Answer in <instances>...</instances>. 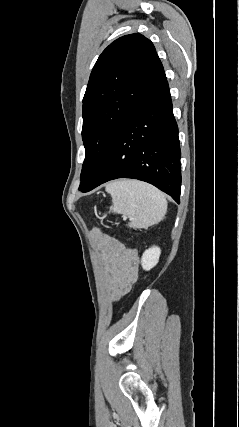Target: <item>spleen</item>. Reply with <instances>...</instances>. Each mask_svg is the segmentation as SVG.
Here are the masks:
<instances>
[{"label":"spleen","instance_id":"1","mask_svg":"<svg viewBox=\"0 0 239 427\" xmlns=\"http://www.w3.org/2000/svg\"><path fill=\"white\" fill-rule=\"evenodd\" d=\"M112 197L110 210L128 217L129 227L148 228L160 222L167 211L164 194L154 186L138 180L122 179L106 185Z\"/></svg>","mask_w":239,"mask_h":427}]
</instances>
